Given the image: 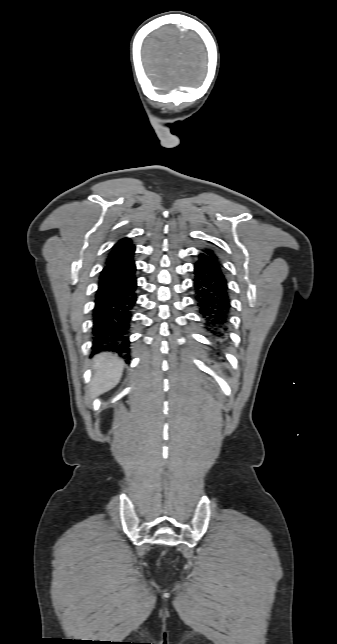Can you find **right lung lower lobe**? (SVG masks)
Returning a JSON list of instances; mask_svg holds the SVG:
<instances>
[{"label": "right lung lower lobe", "instance_id": "1", "mask_svg": "<svg viewBox=\"0 0 337 644\" xmlns=\"http://www.w3.org/2000/svg\"><path fill=\"white\" fill-rule=\"evenodd\" d=\"M135 273L133 256L107 263L101 271L93 309L95 352L113 351L130 357V322L137 300Z\"/></svg>", "mask_w": 337, "mask_h": 644}]
</instances>
